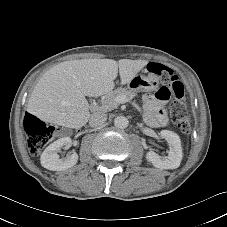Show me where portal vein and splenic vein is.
<instances>
[{"mask_svg":"<svg viewBox=\"0 0 227 227\" xmlns=\"http://www.w3.org/2000/svg\"><path fill=\"white\" fill-rule=\"evenodd\" d=\"M117 101H118L119 103H125V102L128 101V99L125 98V97H119V98H117Z\"/></svg>","mask_w":227,"mask_h":227,"instance_id":"portal-vein-and-splenic-vein-1","label":"portal vein and splenic vein"}]
</instances>
